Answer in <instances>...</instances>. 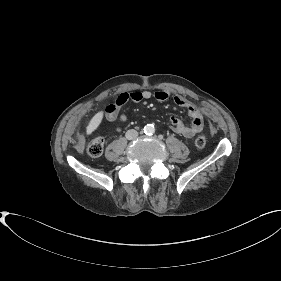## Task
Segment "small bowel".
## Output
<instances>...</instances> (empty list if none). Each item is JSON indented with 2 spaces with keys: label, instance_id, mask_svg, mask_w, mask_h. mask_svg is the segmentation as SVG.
I'll return each instance as SVG.
<instances>
[{
  "label": "small bowel",
  "instance_id": "c3829d8e",
  "mask_svg": "<svg viewBox=\"0 0 281 281\" xmlns=\"http://www.w3.org/2000/svg\"><path fill=\"white\" fill-rule=\"evenodd\" d=\"M151 97H154L158 101H166L171 97V93L164 89H159L154 93L149 90L123 92L119 94L114 103L106 107V118L109 121L115 120L120 108L128 101L140 102L142 100L150 99ZM172 99L177 106L188 110L192 121L189 124H186L177 117L170 116L171 129L185 138H192L197 133L201 132L204 128V119L201 108L180 94L173 95Z\"/></svg>",
  "mask_w": 281,
  "mask_h": 281
}]
</instances>
